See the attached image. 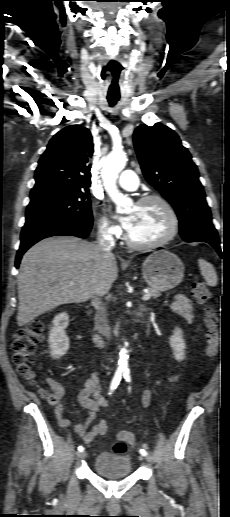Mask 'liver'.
<instances>
[{
	"mask_svg": "<svg viewBox=\"0 0 230 517\" xmlns=\"http://www.w3.org/2000/svg\"><path fill=\"white\" fill-rule=\"evenodd\" d=\"M117 277L114 254L96 244L75 237L41 240L21 260L17 324L22 327L62 304L102 296Z\"/></svg>",
	"mask_w": 230,
	"mask_h": 517,
	"instance_id": "liver-1",
	"label": "liver"
}]
</instances>
